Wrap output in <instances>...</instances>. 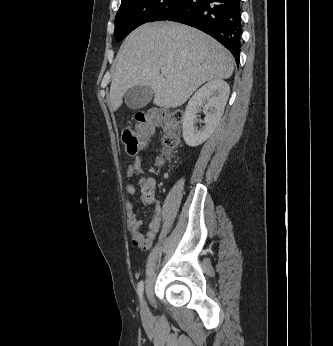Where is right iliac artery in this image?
<instances>
[{
  "instance_id": "82829eb1",
  "label": "right iliac artery",
  "mask_w": 333,
  "mask_h": 346,
  "mask_svg": "<svg viewBox=\"0 0 333 346\" xmlns=\"http://www.w3.org/2000/svg\"><path fill=\"white\" fill-rule=\"evenodd\" d=\"M143 290H144V283H143V281H140L138 284V288H137L138 295L140 298H142V296H143Z\"/></svg>"
}]
</instances>
